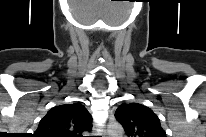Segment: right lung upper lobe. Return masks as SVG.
<instances>
[{
    "label": "right lung upper lobe",
    "mask_w": 206,
    "mask_h": 137,
    "mask_svg": "<svg viewBox=\"0 0 206 137\" xmlns=\"http://www.w3.org/2000/svg\"><path fill=\"white\" fill-rule=\"evenodd\" d=\"M92 117L81 103L55 106L39 122L38 137H78L90 131Z\"/></svg>",
    "instance_id": "obj_1"
}]
</instances>
